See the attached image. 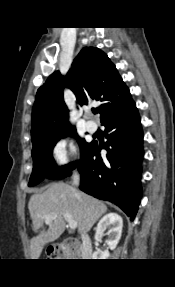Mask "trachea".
Instances as JSON below:
<instances>
[{
    "label": "trachea",
    "instance_id": "1",
    "mask_svg": "<svg viewBox=\"0 0 175 287\" xmlns=\"http://www.w3.org/2000/svg\"><path fill=\"white\" fill-rule=\"evenodd\" d=\"M97 112H98V110H96V109L93 110V113H94V114H96Z\"/></svg>",
    "mask_w": 175,
    "mask_h": 287
}]
</instances>
